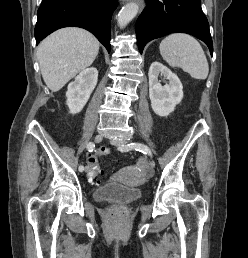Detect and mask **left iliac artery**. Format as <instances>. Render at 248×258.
<instances>
[{
  "mask_svg": "<svg viewBox=\"0 0 248 258\" xmlns=\"http://www.w3.org/2000/svg\"><path fill=\"white\" fill-rule=\"evenodd\" d=\"M131 149H135L137 151L142 152L143 154L152 156V152L148 148V146H146L145 144H142V143H130V144H127L125 146L119 147L120 151H129Z\"/></svg>",
  "mask_w": 248,
  "mask_h": 258,
  "instance_id": "obj_1",
  "label": "left iliac artery"
}]
</instances>
